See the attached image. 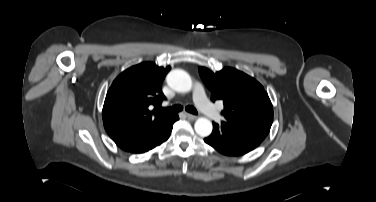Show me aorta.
Here are the masks:
<instances>
[{
	"label": "aorta",
	"instance_id": "aorta-1",
	"mask_svg": "<svg viewBox=\"0 0 376 202\" xmlns=\"http://www.w3.org/2000/svg\"><path fill=\"white\" fill-rule=\"evenodd\" d=\"M166 80L168 85L177 92L186 93L192 88L190 75L181 69L172 70ZM194 129L199 136L207 137L212 132V123L209 119L200 117L196 120Z\"/></svg>",
	"mask_w": 376,
	"mask_h": 202
}]
</instances>
